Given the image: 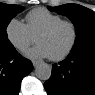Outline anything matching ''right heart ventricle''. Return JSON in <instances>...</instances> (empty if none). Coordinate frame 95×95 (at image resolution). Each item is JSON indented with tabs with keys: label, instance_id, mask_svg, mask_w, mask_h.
Segmentation results:
<instances>
[{
	"label": "right heart ventricle",
	"instance_id": "obj_1",
	"mask_svg": "<svg viewBox=\"0 0 95 95\" xmlns=\"http://www.w3.org/2000/svg\"><path fill=\"white\" fill-rule=\"evenodd\" d=\"M25 20L29 32L36 37L40 31L63 19L47 9L37 8L30 11Z\"/></svg>",
	"mask_w": 95,
	"mask_h": 95
}]
</instances>
